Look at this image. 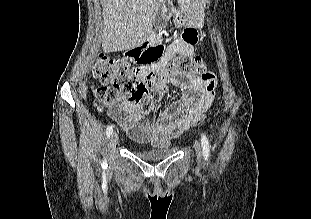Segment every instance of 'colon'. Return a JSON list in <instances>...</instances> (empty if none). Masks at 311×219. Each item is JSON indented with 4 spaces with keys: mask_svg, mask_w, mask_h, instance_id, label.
Returning a JSON list of instances; mask_svg holds the SVG:
<instances>
[{
    "mask_svg": "<svg viewBox=\"0 0 311 219\" xmlns=\"http://www.w3.org/2000/svg\"><path fill=\"white\" fill-rule=\"evenodd\" d=\"M182 38L193 41L191 29H186ZM141 47L133 50L131 55L138 57L142 53ZM162 53L159 49L152 56H140L138 62L149 63L157 59ZM176 71L184 75L198 74L205 71V63L199 56H180L175 59ZM93 75L101 82V86L93 89L94 97L100 107H109L115 114L122 102L138 105L142 111L150 112L159 100H152L148 95L149 82L137 78L136 70L123 58H112L99 55L93 65ZM184 82V80H183Z\"/></svg>",
    "mask_w": 311,
    "mask_h": 219,
    "instance_id": "1",
    "label": "colon"
}]
</instances>
